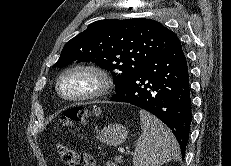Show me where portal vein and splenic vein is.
<instances>
[{
	"mask_svg": "<svg viewBox=\"0 0 231 166\" xmlns=\"http://www.w3.org/2000/svg\"><path fill=\"white\" fill-rule=\"evenodd\" d=\"M123 154H126V152H125V151H123ZM116 159H118V160H119V159H122V157L119 155V156H117V157H116Z\"/></svg>",
	"mask_w": 231,
	"mask_h": 166,
	"instance_id": "1",
	"label": "portal vein and splenic vein"
}]
</instances>
